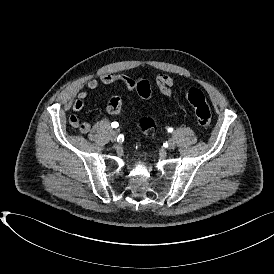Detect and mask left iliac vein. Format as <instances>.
Returning <instances> with one entry per match:
<instances>
[{
    "mask_svg": "<svg viewBox=\"0 0 274 274\" xmlns=\"http://www.w3.org/2000/svg\"><path fill=\"white\" fill-rule=\"evenodd\" d=\"M175 146H176V141L174 140V139H169L168 140V148L169 149H174L175 148Z\"/></svg>",
    "mask_w": 274,
    "mask_h": 274,
    "instance_id": "obj_1",
    "label": "left iliac vein"
}]
</instances>
